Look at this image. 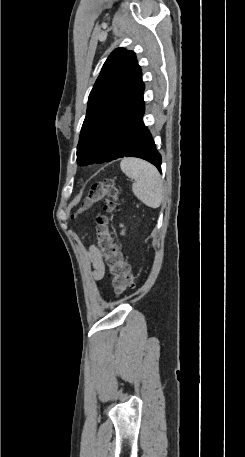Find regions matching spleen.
Here are the masks:
<instances>
[{"label": "spleen", "instance_id": "obj_1", "mask_svg": "<svg viewBox=\"0 0 245 457\" xmlns=\"http://www.w3.org/2000/svg\"><path fill=\"white\" fill-rule=\"evenodd\" d=\"M120 168L127 176L136 180L132 184L135 196L147 206L158 208L163 200V184L156 166L142 158L126 156L122 158Z\"/></svg>", "mask_w": 245, "mask_h": 457}]
</instances>
